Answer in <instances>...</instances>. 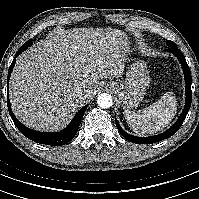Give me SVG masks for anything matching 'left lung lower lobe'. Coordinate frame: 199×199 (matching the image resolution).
<instances>
[{"label": "left lung lower lobe", "instance_id": "0a47b994", "mask_svg": "<svg viewBox=\"0 0 199 199\" xmlns=\"http://www.w3.org/2000/svg\"><path fill=\"white\" fill-rule=\"evenodd\" d=\"M166 51L173 53L178 60L180 61L183 71H184V75H185V83H186V88H185V94H186V103L184 106V110L182 112V114L180 115V117L178 118V120L174 123V125L168 129L167 131H165L164 133H161L159 135H155V136H150V137H137V136H133L130 135L128 133H126L121 126L119 125L117 119L115 118L116 121V126L120 132V134L126 138L128 141H131L133 143L136 144H150V143H155L161 140H164L170 136H172L173 134H175L179 128L181 127L189 109L191 106V102H192V93H191V82H192V78H191V73H190V69L187 65V62L185 60V57L183 55V53L177 48L176 45L174 46H169L168 49H166Z\"/></svg>", "mask_w": 199, "mask_h": 199}]
</instances>
